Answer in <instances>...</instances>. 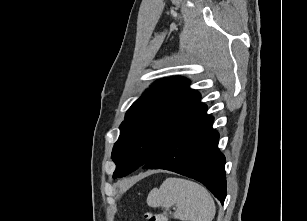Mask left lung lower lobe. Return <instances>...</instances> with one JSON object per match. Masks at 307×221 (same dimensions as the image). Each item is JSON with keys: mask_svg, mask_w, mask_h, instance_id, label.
<instances>
[{"mask_svg": "<svg viewBox=\"0 0 307 221\" xmlns=\"http://www.w3.org/2000/svg\"><path fill=\"white\" fill-rule=\"evenodd\" d=\"M207 114L164 146L143 169H166L205 185L223 204L226 197L225 157L218 149L219 134Z\"/></svg>", "mask_w": 307, "mask_h": 221, "instance_id": "left-lung-lower-lobe-1", "label": "left lung lower lobe"}]
</instances>
